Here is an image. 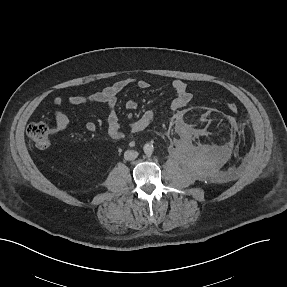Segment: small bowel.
I'll use <instances>...</instances> for the list:
<instances>
[{
	"instance_id": "c3829d8e",
	"label": "small bowel",
	"mask_w": 287,
	"mask_h": 287,
	"mask_svg": "<svg viewBox=\"0 0 287 287\" xmlns=\"http://www.w3.org/2000/svg\"><path fill=\"white\" fill-rule=\"evenodd\" d=\"M130 85H136L140 89H147L149 83L145 80H135L133 78H124L114 82L113 84L103 88L100 91L89 95H75L67 99V104L70 106L88 105L93 103H104L109 108L107 116V136L111 140H121L125 137V131L119 122L115 107L117 103L118 94ZM171 87L175 93V97L170 103L172 110L180 109L189 104L192 100V94L187 90L186 83L182 80L176 79L171 83ZM53 117L56 128L64 130L69 123L67 115L62 110L63 99L56 97L53 101ZM128 110H136L138 104L135 100H128L125 104ZM154 120L153 111H145L139 118L133 121L129 127V132L132 134L140 133L147 129ZM86 129L88 131H95L96 124L94 122H87Z\"/></svg>"
}]
</instances>
